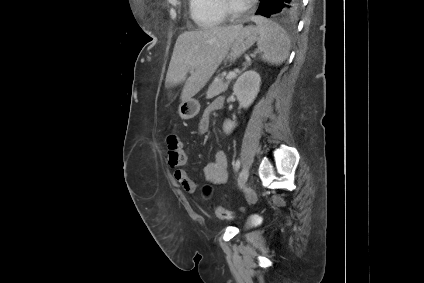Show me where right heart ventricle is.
<instances>
[{"label":"right heart ventricle","instance_id":"obj_1","mask_svg":"<svg viewBox=\"0 0 424 283\" xmlns=\"http://www.w3.org/2000/svg\"><path fill=\"white\" fill-rule=\"evenodd\" d=\"M189 7L191 18L201 28H214L226 20L220 0H189Z\"/></svg>","mask_w":424,"mask_h":283}]
</instances>
